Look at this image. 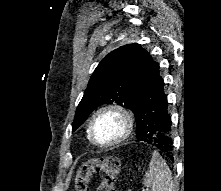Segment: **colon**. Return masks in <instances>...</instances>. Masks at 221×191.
Listing matches in <instances>:
<instances>
[{
	"label": "colon",
	"instance_id": "5ec220e1",
	"mask_svg": "<svg viewBox=\"0 0 221 191\" xmlns=\"http://www.w3.org/2000/svg\"><path fill=\"white\" fill-rule=\"evenodd\" d=\"M121 163L115 156H101L84 162L75 177L76 191H86L94 174H101L102 180L97 191H116L115 181L120 173Z\"/></svg>",
	"mask_w": 221,
	"mask_h": 191
}]
</instances>
